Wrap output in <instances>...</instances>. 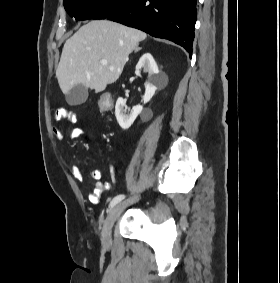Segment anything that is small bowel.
I'll return each mask as SVG.
<instances>
[{"instance_id":"c3829d8e","label":"small bowel","mask_w":280,"mask_h":283,"mask_svg":"<svg viewBox=\"0 0 280 283\" xmlns=\"http://www.w3.org/2000/svg\"><path fill=\"white\" fill-rule=\"evenodd\" d=\"M56 118L57 120H67L68 122H72L76 119L75 114L72 111L64 108L57 111ZM53 134L57 140H62L65 135L72 140L83 139L86 137V132L81 127H72L66 133L60 128H54ZM71 173L77 179L82 177L81 170L77 165H72ZM90 177L95 180L96 183L89 198L92 203H98L101 195L111 188V184L100 182V179L102 178V173L100 170L91 171Z\"/></svg>"}]
</instances>
